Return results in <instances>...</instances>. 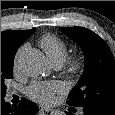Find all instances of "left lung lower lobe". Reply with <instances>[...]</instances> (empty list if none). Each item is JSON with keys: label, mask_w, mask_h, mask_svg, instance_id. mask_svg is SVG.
I'll list each match as a JSON object with an SVG mask.
<instances>
[{"label": "left lung lower lobe", "mask_w": 115, "mask_h": 115, "mask_svg": "<svg viewBox=\"0 0 115 115\" xmlns=\"http://www.w3.org/2000/svg\"><path fill=\"white\" fill-rule=\"evenodd\" d=\"M83 111L85 115H115L114 113H110L102 109L90 108V107H83ZM67 115H72V114L67 113Z\"/></svg>", "instance_id": "obj_1"}]
</instances>
